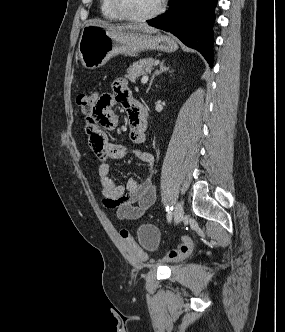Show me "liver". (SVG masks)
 I'll return each instance as SVG.
<instances>
[{"label":"liver","instance_id":"1","mask_svg":"<svg viewBox=\"0 0 285 332\" xmlns=\"http://www.w3.org/2000/svg\"><path fill=\"white\" fill-rule=\"evenodd\" d=\"M93 25H97L103 28H106L110 31H112L113 33H138V32H143V33H156L158 30L153 28V27H149L147 25H110L107 24L105 22H96V23H92Z\"/></svg>","mask_w":285,"mask_h":332}]
</instances>
